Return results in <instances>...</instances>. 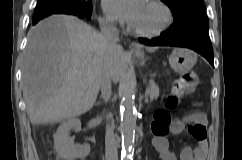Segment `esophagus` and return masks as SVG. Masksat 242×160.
<instances>
[{
  "mask_svg": "<svg viewBox=\"0 0 242 160\" xmlns=\"http://www.w3.org/2000/svg\"><path fill=\"white\" fill-rule=\"evenodd\" d=\"M130 49H131V51H136V50H139V47L135 44H131Z\"/></svg>",
  "mask_w": 242,
  "mask_h": 160,
  "instance_id": "34e87169",
  "label": "esophagus"
}]
</instances>
